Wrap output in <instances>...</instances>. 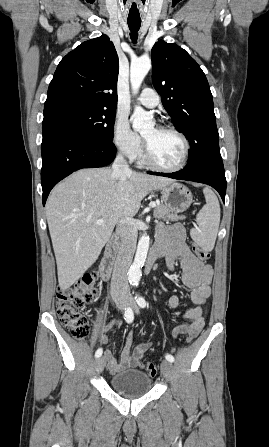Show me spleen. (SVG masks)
I'll use <instances>...</instances> for the list:
<instances>
[{"label":"spleen","instance_id":"3e777b00","mask_svg":"<svg viewBox=\"0 0 269 447\" xmlns=\"http://www.w3.org/2000/svg\"><path fill=\"white\" fill-rule=\"evenodd\" d=\"M206 204L196 216L197 227H193L190 235L197 245L205 251H212L220 224V204L210 186L203 190Z\"/></svg>","mask_w":269,"mask_h":447}]
</instances>
